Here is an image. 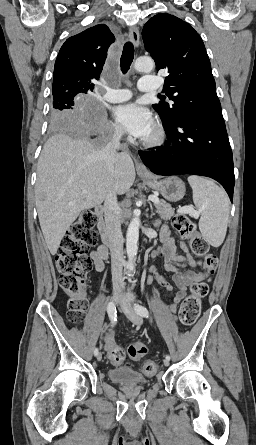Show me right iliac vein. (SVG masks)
Masks as SVG:
<instances>
[{"label": "right iliac vein", "instance_id": "right-iliac-vein-1", "mask_svg": "<svg viewBox=\"0 0 256 445\" xmlns=\"http://www.w3.org/2000/svg\"><path fill=\"white\" fill-rule=\"evenodd\" d=\"M119 301H120V295L119 293L115 292L112 296L111 303L112 305L115 306V304H117ZM101 359H102V354L100 353L97 355V360L100 361Z\"/></svg>", "mask_w": 256, "mask_h": 445}]
</instances>
